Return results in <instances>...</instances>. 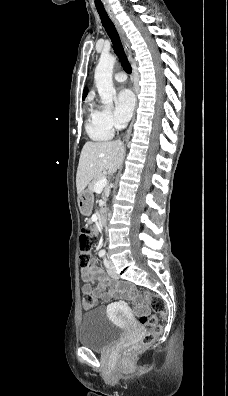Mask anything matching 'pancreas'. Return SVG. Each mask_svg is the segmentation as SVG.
<instances>
[{
  "label": "pancreas",
  "mask_w": 228,
  "mask_h": 396,
  "mask_svg": "<svg viewBox=\"0 0 228 396\" xmlns=\"http://www.w3.org/2000/svg\"><path fill=\"white\" fill-rule=\"evenodd\" d=\"M101 178H103V176L102 175H98L97 177H95L90 183H89V189L91 190V191H94V187H95V184L101 179Z\"/></svg>",
  "instance_id": "pancreas-1"
}]
</instances>
